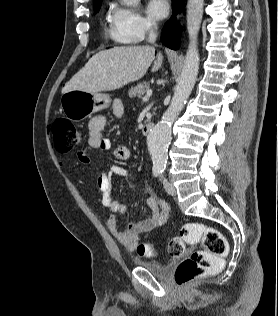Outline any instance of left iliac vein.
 Here are the masks:
<instances>
[{
    "mask_svg": "<svg viewBox=\"0 0 278 316\" xmlns=\"http://www.w3.org/2000/svg\"><path fill=\"white\" fill-rule=\"evenodd\" d=\"M164 188L169 195L174 196L176 194L175 187L167 179L164 180Z\"/></svg>",
    "mask_w": 278,
    "mask_h": 316,
    "instance_id": "1",
    "label": "left iliac vein"
}]
</instances>
